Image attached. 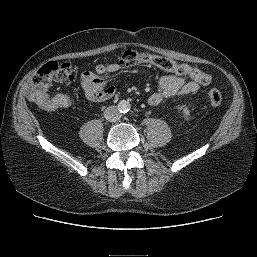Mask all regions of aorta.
<instances>
[{
  "label": "aorta",
  "instance_id": "aorta-1",
  "mask_svg": "<svg viewBox=\"0 0 257 257\" xmlns=\"http://www.w3.org/2000/svg\"><path fill=\"white\" fill-rule=\"evenodd\" d=\"M131 108V105L128 101L126 100H122L118 103V110L121 113H127Z\"/></svg>",
  "mask_w": 257,
  "mask_h": 257
}]
</instances>
